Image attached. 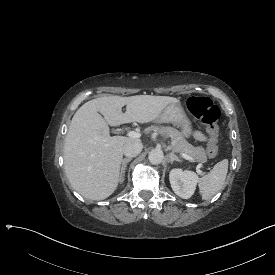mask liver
Returning a JSON list of instances; mask_svg holds the SVG:
<instances>
[{
  "instance_id": "liver-1",
  "label": "liver",
  "mask_w": 275,
  "mask_h": 275,
  "mask_svg": "<svg viewBox=\"0 0 275 275\" xmlns=\"http://www.w3.org/2000/svg\"><path fill=\"white\" fill-rule=\"evenodd\" d=\"M171 103L179 100L151 95L109 96L83 104L72 118L64 143V168L72 187L91 200L110 196L119 182L124 145L140 139L111 137L108 125L155 121Z\"/></svg>"
}]
</instances>
